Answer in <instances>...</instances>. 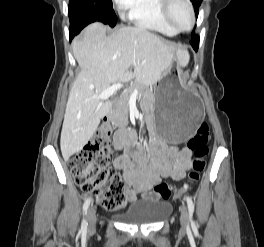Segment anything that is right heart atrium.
<instances>
[{"instance_id": "1", "label": "right heart atrium", "mask_w": 264, "mask_h": 247, "mask_svg": "<svg viewBox=\"0 0 264 247\" xmlns=\"http://www.w3.org/2000/svg\"><path fill=\"white\" fill-rule=\"evenodd\" d=\"M114 2L117 6L119 13L121 15H124L127 12V10L130 9L133 0H114Z\"/></svg>"}]
</instances>
